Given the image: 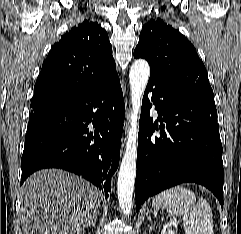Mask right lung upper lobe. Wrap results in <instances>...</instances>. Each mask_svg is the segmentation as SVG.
Listing matches in <instances>:
<instances>
[{
    "label": "right lung upper lobe",
    "mask_w": 241,
    "mask_h": 234,
    "mask_svg": "<svg viewBox=\"0 0 241 234\" xmlns=\"http://www.w3.org/2000/svg\"><path fill=\"white\" fill-rule=\"evenodd\" d=\"M115 67L107 32L85 20L52 46L35 83L31 104L90 90L116 75Z\"/></svg>",
    "instance_id": "1"
}]
</instances>
